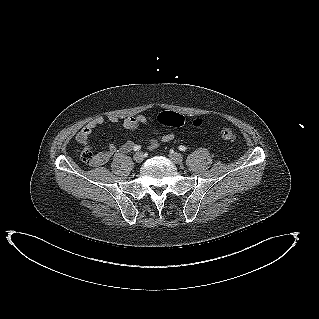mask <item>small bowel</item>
Returning <instances> with one entry per match:
<instances>
[{
    "mask_svg": "<svg viewBox=\"0 0 319 319\" xmlns=\"http://www.w3.org/2000/svg\"><path fill=\"white\" fill-rule=\"evenodd\" d=\"M111 123H117L119 118L116 115L108 117ZM105 122V118L102 116L94 118L87 125H85L76 135L78 143L83 145L85 149L90 150L89 138L93 131ZM123 126L128 130H135L140 126H149L148 119L143 115L127 116L123 119ZM175 138L173 132H167L164 134L155 133V138L151 140L148 148L155 149L160 142L167 143ZM134 143L130 140L123 143L121 146L115 144H109L104 150L94 154V160L91 163L95 166L105 165L116 154H127L134 148Z\"/></svg>",
    "mask_w": 319,
    "mask_h": 319,
    "instance_id": "1",
    "label": "small bowel"
}]
</instances>
